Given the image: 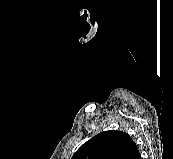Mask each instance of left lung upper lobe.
<instances>
[{"label": "left lung upper lobe", "instance_id": "1", "mask_svg": "<svg viewBox=\"0 0 173 159\" xmlns=\"http://www.w3.org/2000/svg\"><path fill=\"white\" fill-rule=\"evenodd\" d=\"M139 151L131 137L122 131H104L83 144L72 159H136Z\"/></svg>", "mask_w": 173, "mask_h": 159}]
</instances>
